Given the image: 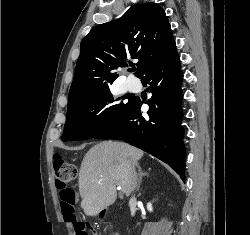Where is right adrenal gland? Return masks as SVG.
Instances as JSON below:
<instances>
[{
	"mask_svg": "<svg viewBox=\"0 0 250 235\" xmlns=\"http://www.w3.org/2000/svg\"><path fill=\"white\" fill-rule=\"evenodd\" d=\"M137 167H138V176H139L138 184H137V191H139L140 190V185H141V182H142V178L144 176H149V173L148 172H143L139 165Z\"/></svg>",
	"mask_w": 250,
	"mask_h": 235,
	"instance_id": "obj_1",
	"label": "right adrenal gland"
}]
</instances>
